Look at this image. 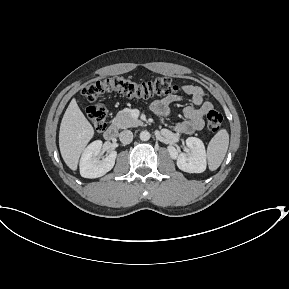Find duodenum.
Returning <instances> with one entry per match:
<instances>
[{
    "label": "duodenum",
    "instance_id": "410a0bca",
    "mask_svg": "<svg viewBox=\"0 0 289 289\" xmlns=\"http://www.w3.org/2000/svg\"><path fill=\"white\" fill-rule=\"evenodd\" d=\"M117 128L115 126H109L104 132V138L107 141L113 142L117 138Z\"/></svg>",
    "mask_w": 289,
    "mask_h": 289
}]
</instances>
